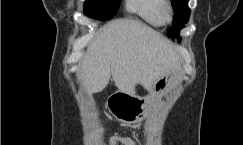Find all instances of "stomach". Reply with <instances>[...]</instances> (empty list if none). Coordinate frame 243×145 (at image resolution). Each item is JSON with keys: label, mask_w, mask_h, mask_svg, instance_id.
I'll use <instances>...</instances> for the list:
<instances>
[{"label": "stomach", "mask_w": 243, "mask_h": 145, "mask_svg": "<svg viewBox=\"0 0 243 145\" xmlns=\"http://www.w3.org/2000/svg\"><path fill=\"white\" fill-rule=\"evenodd\" d=\"M167 79H159L158 82L155 83L156 87H165L167 84ZM154 97H137L126 93L124 91L118 92L116 94H112L109 101V106L111 108V112L115 114L118 120L125 123H134L139 121L142 115V111L144 110V106H150V102H166V97H161L157 91L153 92ZM145 100V101H144Z\"/></svg>", "instance_id": "stomach-1"}]
</instances>
